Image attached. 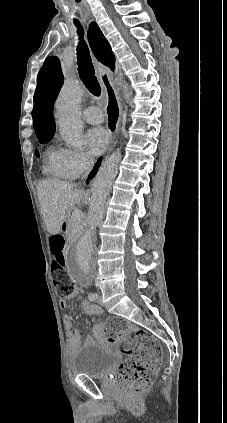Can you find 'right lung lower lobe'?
Wrapping results in <instances>:
<instances>
[{
  "label": "right lung lower lobe",
  "instance_id": "98d812e1",
  "mask_svg": "<svg viewBox=\"0 0 227 423\" xmlns=\"http://www.w3.org/2000/svg\"><path fill=\"white\" fill-rule=\"evenodd\" d=\"M100 162H101V158L97 161V163H96V165H95L94 169H93V170H92V172L90 173V175H89V179L93 178V177H94V175L96 174V172H97V170H98V168H99V166H100ZM86 183H88V180L86 181Z\"/></svg>",
  "mask_w": 227,
  "mask_h": 423
}]
</instances>
